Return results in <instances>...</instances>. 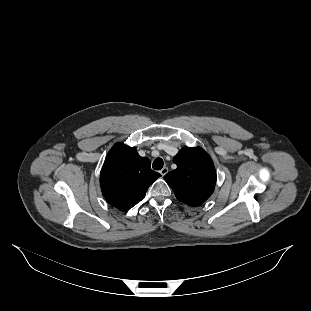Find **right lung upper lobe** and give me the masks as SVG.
<instances>
[{
  "label": "right lung upper lobe",
  "mask_w": 311,
  "mask_h": 311,
  "mask_svg": "<svg viewBox=\"0 0 311 311\" xmlns=\"http://www.w3.org/2000/svg\"><path fill=\"white\" fill-rule=\"evenodd\" d=\"M151 162L135 148L123 143L114 145L107 154L100 173L105 199L120 210L140 202L149 186L161 175L151 169Z\"/></svg>",
  "instance_id": "obj_1"
}]
</instances>
